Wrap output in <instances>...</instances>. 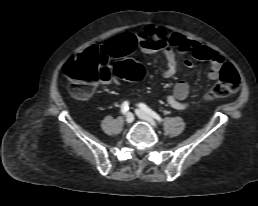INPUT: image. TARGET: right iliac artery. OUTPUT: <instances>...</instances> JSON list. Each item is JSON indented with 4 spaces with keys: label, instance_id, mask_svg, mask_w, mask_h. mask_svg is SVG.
Instances as JSON below:
<instances>
[{
    "label": "right iliac artery",
    "instance_id": "right-iliac-artery-1",
    "mask_svg": "<svg viewBox=\"0 0 258 206\" xmlns=\"http://www.w3.org/2000/svg\"><path fill=\"white\" fill-rule=\"evenodd\" d=\"M129 109V102L124 101L121 105V112L125 115Z\"/></svg>",
    "mask_w": 258,
    "mask_h": 206
}]
</instances>
